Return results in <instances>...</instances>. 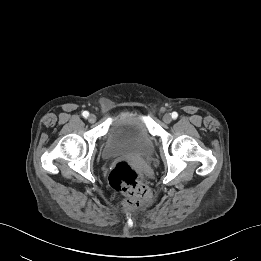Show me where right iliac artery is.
I'll return each instance as SVG.
<instances>
[{"label":"right iliac artery","instance_id":"obj_1","mask_svg":"<svg viewBox=\"0 0 261 261\" xmlns=\"http://www.w3.org/2000/svg\"><path fill=\"white\" fill-rule=\"evenodd\" d=\"M82 115H83V117L87 118V117L89 116V112H88V111H84V112L82 113Z\"/></svg>","mask_w":261,"mask_h":261}]
</instances>
